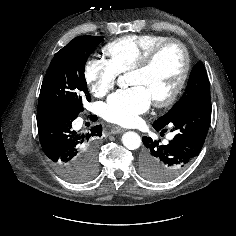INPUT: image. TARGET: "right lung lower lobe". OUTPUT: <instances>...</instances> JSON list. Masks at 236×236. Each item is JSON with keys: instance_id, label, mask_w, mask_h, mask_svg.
Returning a JSON list of instances; mask_svg holds the SVG:
<instances>
[{"instance_id": "1", "label": "right lung lower lobe", "mask_w": 236, "mask_h": 236, "mask_svg": "<svg viewBox=\"0 0 236 236\" xmlns=\"http://www.w3.org/2000/svg\"><path fill=\"white\" fill-rule=\"evenodd\" d=\"M77 117L58 109L39 108L37 111L42 149L56 170L72 182H78L81 168L97 158L98 138L102 135L100 125L85 134L73 130L72 122Z\"/></svg>"}]
</instances>
